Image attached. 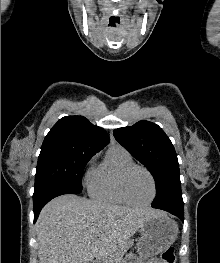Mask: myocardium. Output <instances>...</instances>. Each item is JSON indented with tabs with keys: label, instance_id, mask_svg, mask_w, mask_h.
<instances>
[{
	"label": "myocardium",
	"instance_id": "myocardium-1",
	"mask_svg": "<svg viewBox=\"0 0 220 263\" xmlns=\"http://www.w3.org/2000/svg\"><path fill=\"white\" fill-rule=\"evenodd\" d=\"M137 169L144 171L149 176L151 183H152V196L148 201L143 202V203H138V202H135L134 200H132V198L130 197L128 190H127L128 178H129L130 174L134 170H137ZM119 185H120L121 194L124 197V199L129 204L134 205V206H138V207L150 205L154 201L156 194H157V184H156V180H155L154 175L152 174V172L148 168H146L145 166H142V165H138V164H132V165H130L124 169V171L122 172L121 177H120Z\"/></svg>",
	"mask_w": 220,
	"mask_h": 263
}]
</instances>
